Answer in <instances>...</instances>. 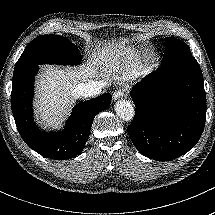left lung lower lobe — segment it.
<instances>
[{
    "instance_id": "left-lung-lower-lobe-1",
    "label": "left lung lower lobe",
    "mask_w": 215,
    "mask_h": 215,
    "mask_svg": "<svg viewBox=\"0 0 215 215\" xmlns=\"http://www.w3.org/2000/svg\"><path fill=\"white\" fill-rule=\"evenodd\" d=\"M130 94L136 111L128 134L141 154L168 161L195 146L205 125L206 94L194 57L162 65Z\"/></svg>"
}]
</instances>
